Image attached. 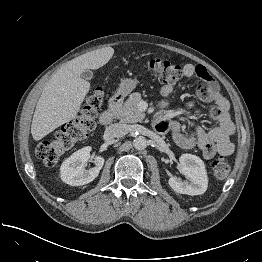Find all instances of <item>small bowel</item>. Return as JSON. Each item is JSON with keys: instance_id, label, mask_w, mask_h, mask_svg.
I'll return each mask as SVG.
<instances>
[{"instance_id": "obj_1", "label": "small bowel", "mask_w": 262, "mask_h": 262, "mask_svg": "<svg viewBox=\"0 0 262 262\" xmlns=\"http://www.w3.org/2000/svg\"><path fill=\"white\" fill-rule=\"evenodd\" d=\"M184 75L192 77L196 75L201 80L198 88V97L214 104L210 111V118L218 123L211 129L202 128L196 121L198 111L193 109L195 120L191 124L193 135L186 136L181 129L179 122L173 120L174 113L163 111L158 117L155 128L160 133H170L173 140L184 148H198L202 151L206 159L213 158L217 153H231L233 143L231 135L233 133V123L229 116V102L221 93L219 86L211 77L205 67L187 63L183 65ZM173 91L171 85H165L161 88V94L164 97L169 96ZM164 101L161 106L166 107Z\"/></svg>"}]
</instances>
